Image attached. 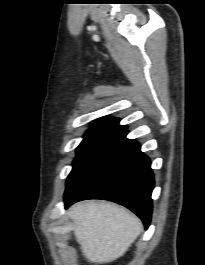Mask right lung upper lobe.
Returning <instances> with one entry per match:
<instances>
[{
    "mask_svg": "<svg viewBox=\"0 0 205 265\" xmlns=\"http://www.w3.org/2000/svg\"><path fill=\"white\" fill-rule=\"evenodd\" d=\"M119 119L102 117L91 123L92 128L94 127H108V126H121L119 125ZM126 127V126H124Z\"/></svg>",
    "mask_w": 205,
    "mask_h": 265,
    "instance_id": "1",
    "label": "right lung upper lobe"
}]
</instances>
